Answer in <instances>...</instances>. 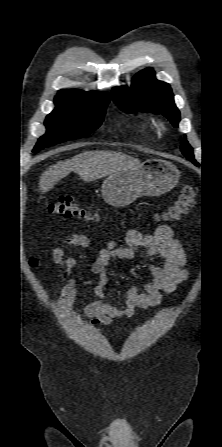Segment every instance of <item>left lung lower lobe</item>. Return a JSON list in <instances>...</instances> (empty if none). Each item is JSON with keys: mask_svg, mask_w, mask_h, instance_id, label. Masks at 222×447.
I'll return each instance as SVG.
<instances>
[{"mask_svg": "<svg viewBox=\"0 0 222 447\" xmlns=\"http://www.w3.org/2000/svg\"><path fill=\"white\" fill-rule=\"evenodd\" d=\"M192 162L197 166L199 165L195 160H193Z\"/></svg>", "mask_w": 222, "mask_h": 447, "instance_id": "1", "label": "left lung lower lobe"}]
</instances>
